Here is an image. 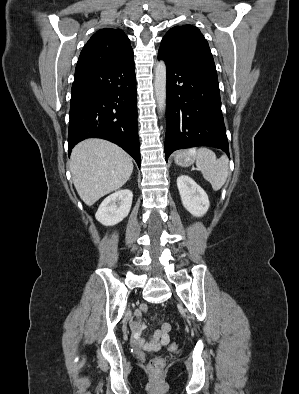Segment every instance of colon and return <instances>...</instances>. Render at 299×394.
<instances>
[{"label": "colon", "instance_id": "colon-1", "mask_svg": "<svg viewBox=\"0 0 299 394\" xmlns=\"http://www.w3.org/2000/svg\"><path fill=\"white\" fill-rule=\"evenodd\" d=\"M170 348L174 349L176 348V344H171ZM149 369L152 372H158L162 366H163V359L162 358H153L150 362H149Z\"/></svg>", "mask_w": 299, "mask_h": 394}]
</instances>
